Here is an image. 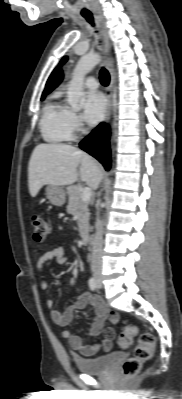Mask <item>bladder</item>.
I'll list each match as a JSON object with an SVG mask.
<instances>
[{
  "label": "bladder",
  "instance_id": "bladder-1",
  "mask_svg": "<svg viewBox=\"0 0 182 399\" xmlns=\"http://www.w3.org/2000/svg\"><path fill=\"white\" fill-rule=\"evenodd\" d=\"M122 356L121 352H111L94 358L75 357L74 363L82 374H105Z\"/></svg>",
  "mask_w": 182,
  "mask_h": 399
}]
</instances>
